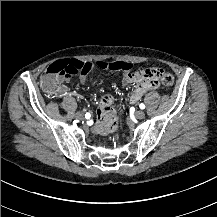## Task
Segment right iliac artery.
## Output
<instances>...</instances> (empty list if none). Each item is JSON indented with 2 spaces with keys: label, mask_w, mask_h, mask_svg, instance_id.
Here are the masks:
<instances>
[{
  "label": "right iliac artery",
  "mask_w": 217,
  "mask_h": 217,
  "mask_svg": "<svg viewBox=\"0 0 217 217\" xmlns=\"http://www.w3.org/2000/svg\"><path fill=\"white\" fill-rule=\"evenodd\" d=\"M85 118H86L87 120H90V119L92 118V115H91L90 113H86V114H85Z\"/></svg>",
  "instance_id": "82829eb1"
}]
</instances>
